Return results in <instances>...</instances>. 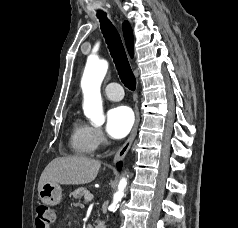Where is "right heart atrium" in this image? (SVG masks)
Returning <instances> with one entry per match:
<instances>
[{"mask_svg": "<svg viewBox=\"0 0 238 228\" xmlns=\"http://www.w3.org/2000/svg\"><path fill=\"white\" fill-rule=\"evenodd\" d=\"M91 137L96 147L106 144V137L100 127H91Z\"/></svg>", "mask_w": 238, "mask_h": 228, "instance_id": "d8ad5b80", "label": "right heart atrium"}]
</instances>
